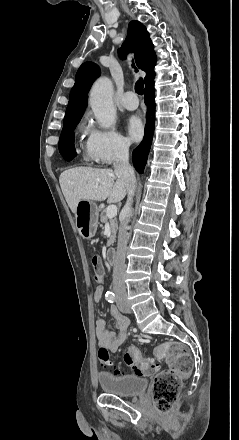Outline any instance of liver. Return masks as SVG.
<instances>
[{
	"mask_svg": "<svg viewBox=\"0 0 239 440\" xmlns=\"http://www.w3.org/2000/svg\"><path fill=\"white\" fill-rule=\"evenodd\" d=\"M116 180V182H114ZM63 196L73 214L81 200L121 202L126 196V186L119 174L100 168H71L59 178Z\"/></svg>",
	"mask_w": 239,
	"mask_h": 440,
	"instance_id": "1",
	"label": "liver"
}]
</instances>
